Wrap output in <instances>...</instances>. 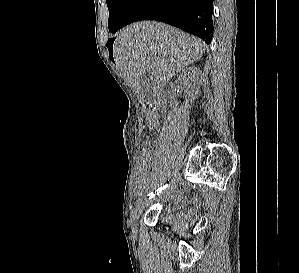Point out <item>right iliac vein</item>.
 I'll return each mask as SVG.
<instances>
[{
  "label": "right iliac vein",
  "instance_id": "1",
  "mask_svg": "<svg viewBox=\"0 0 299 273\" xmlns=\"http://www.w3.org/2000/svg\"><path fill=\"white\" fill-rule=\"evenodd\" d=\"M178 180H179L178 174H175L174 177H173V179H172V181H171V183H170V185H169V187H168V189L166 191H164L163 194H167V193H170L171 191L175 190V188L177 187V184H178ZM146 204H147V200L144 199L132 211V214H131V226H132L133 229L136 228L139 216L141 215L142 211L144 210Z\"/></svg>",
  "mask_w": 299,
  "mask_h": 273
}]
</instances>
